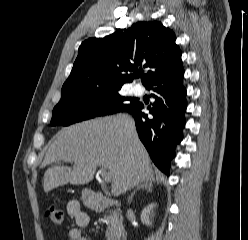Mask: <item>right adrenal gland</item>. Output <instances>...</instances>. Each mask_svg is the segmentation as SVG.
Wrapping results in <instances>:
<instances>
[{
  "mask_svg": "<svg viewBox=\"0 0 248 240\" xmlns=\"http://www.w3.org/2000/svg\"><path fill=\"white\" fill-rule=\"evenodd\" d=\"M146 190L147 192L153 191V181H144L140 185L136 187V189L131 193V195L128 197L127 203L130 204L132 202V199L138 190Z\"/></svg>",
  "mask_w": 248,
  "mask_h": 240,
  "instance_id": "obj_1",
  "label": "right adrenal gland"
}]
</instances>
